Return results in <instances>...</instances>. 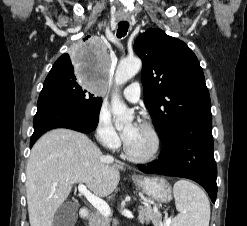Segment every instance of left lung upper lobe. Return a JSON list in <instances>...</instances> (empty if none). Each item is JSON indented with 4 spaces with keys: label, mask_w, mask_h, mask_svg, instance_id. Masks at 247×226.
Returning a JSON list of instances; mask_svg holds the SVG:
<instances>
[{
    "label": "left lung upper lobe",
    "mask_w": 247,
    "mask_h": 226,
    "mask_svg": "<svg viewBox=\"0 0 247 226\" xmlns=\"http://www.w3.org/2000/svg\"><path fill=\"white\" fill-rule=\"evenodd\" d=\"M134 50L143 61L144 96L162 143L193 118L211 116L202 68L183 41L161 29H148Z\"/></svg>",
    "instance_id": "5c2ea615"
}]
</instances>
